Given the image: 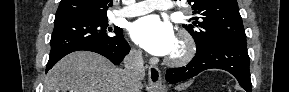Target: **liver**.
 I'll list each match as a JSON object with an SVG mask.
<instances>
[{
  "mask_svg": "<svg viewBox=\"0 0 289 92\" xmlns=\"http://www.w3.org/2000/svg\"><path fill=\"white\" fill-rule=\"evenodd\" d=\"M142 83L129 84L123 69L105 57L76 51L48 71L44 92H141Z\"/></svg>",
  "mask_w": 289,
  "mask_h": 92,
  "instance_id": "obj_1",
  "label": "liver"
}]
</instances>
